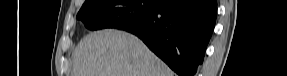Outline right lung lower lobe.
Returning <instances> with one entry per match:
<instances>
[{"label": "right lung lower lobe", "mask_w": 287, "mask_h": 76, "mask_svg": "<svg viewBox=\"0 0 287 76\" xmlns=\"http://www.w3.org/2000/svg\"><path fill=\"white\" fill-rule=\"evenodd\" d=\"M216 15V0H157L148 18L123 30L142 39L179 76H195Z\"/></svg>", "instance_id": "98d812e1"}]
</instances>
